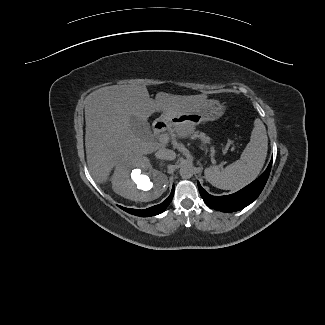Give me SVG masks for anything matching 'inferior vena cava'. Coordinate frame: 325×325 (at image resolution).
I'll use <instances>...</instances> for the list:
<instances>
[{
	"instance_id": "obj_1",
	"label": "inferior vena cava",
	"mask_w": 325,
	"mask_h": 325,
	"mask_svg": "<svg viewBox=\"0 0 325 325\" xmlns=\"http://www.w3.org/2000/svg\"><path fill=\"white\" fill-rule=\"evenodd\" d=\"M156 157L164 160H174L176 158V153L173 150L166 148H160L155 153Z\"/></svg>"
}]
</instances>
